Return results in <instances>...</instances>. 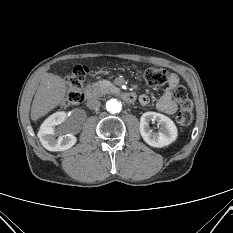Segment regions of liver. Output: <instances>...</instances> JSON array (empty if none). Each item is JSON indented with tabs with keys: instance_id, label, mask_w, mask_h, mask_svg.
<instances>
[{
	"instance_id": "1",
	"label": "liver",
	"mask_w": 233,
	"mask_h": 233,
	"mask_svg": "<svg viewBox=\"0 0 233 233\" xmlns=\"http://www.w3.org/2000/svg\"><path fill=\"white\" fill-rule=\"evenodd\" d=\"M66 90V82L62 77L44 73L32 102L31 119L38 120L56 108L64 100Z\"/></svg>"
}]
</instances>
